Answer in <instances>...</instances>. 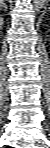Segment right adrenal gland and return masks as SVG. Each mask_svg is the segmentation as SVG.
Segmentation results:
<instances>
[{"label":"right adrenal gland","instance_id":"2a0ac1e0","mask_svg":"<svg viewBox=\"0 0 50 148\" xmlns=\"http://www.w3.org/2000/svg\"><path fill=\"white\" fill-rule=\"evenodd\" d=\"M1 8H4V10L7 11V5H6V3L2 2L1 3Z\"/></svg>","mask_w":50,"mask_h":148}]
</instances>
